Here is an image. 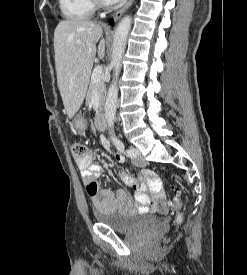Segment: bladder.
Here are the masks:
<instances>
[{"instance_id": "31cf9c89", "label": "bladder", "mask_w": 247, "mask_h": 275, "mask_svg": "<svg viewBox=\"0 0 247 275\" xmlns=\"http://www.w3.org/2000/svg\"><path fill=\"white\" fill-rule=\"evenodd\" d=\"M94 218L97 223L123 233H129L141 227H149L160 219L159 216L154 215H142L135 212L123 215L102 212L97 209L94 211Z\"/></svg>"}]
</instances>
